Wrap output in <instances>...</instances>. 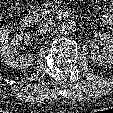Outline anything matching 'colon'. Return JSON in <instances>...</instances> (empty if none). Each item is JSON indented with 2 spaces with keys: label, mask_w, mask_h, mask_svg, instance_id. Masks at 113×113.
<instances>
[{
  "label": "colon",
  "mask_w": 113,
  "mask_h": 113,
  "mask_svg": "<svg viewBox=\"0 0 113 113\" xmlns=\"http://www.w3.org/2000/svg\"><path fill=\"white\" fill-rule=\"evenodd\" d=\"M9 42V31L0 23V53L6 48Z\"/></svg>",
  "instance_id": "colon-1"
}]
</instances>
